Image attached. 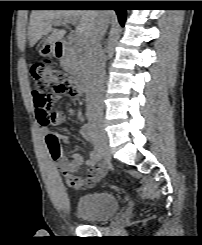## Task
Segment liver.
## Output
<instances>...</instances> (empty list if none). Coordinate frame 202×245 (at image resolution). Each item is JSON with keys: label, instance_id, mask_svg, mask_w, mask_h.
<instances>
[{"label": "liver", "instance_id": "6515ba94", "mask_svg": "<svg viewBox=\"0 0 202 245\" xmlns=\"http://www.w3.org/2000/svg\"><path fill=\"white\" fill-rule=\"evenodd\" d=\"M99 13L108 20L112 16V12H95L93 10H33L28 28L29 45L33 47L43 36H47L45 43L62 40L66 30L53 29L52 24L66 19H78L76 31L88 39L96 25Z\"/></svg>", "mask_w": 202, "mask_h": 245}]
</instances>
